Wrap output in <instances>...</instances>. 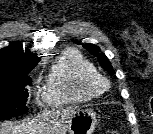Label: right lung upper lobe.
I'll use <instances>...</instances> for the list:
<instances>
[{"instance_id":"cb5924a9","label":"right lung upper lobe","mask_w":153,"mask_h":134,"mask_svg":"<svg viewBox=\"0 0 153 134\" xmlns=\"http://www.w3.org/2000/svg\"><path fill=\"white\" fill-rule=\"evenodd\" d=\"M39 60L36 54L24 52L22 45L13 42L0 49V75L28 74Z\"/></svg>"}]
</instances>
